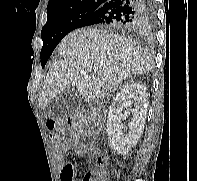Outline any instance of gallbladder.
I'll return each mask as SVG.
<instances>
[{
  "instance_id": "1",
  "label": "gallbladder",
  "mask_w": 197,
  "mask_h": 181,
  "mask_svg": "<svg viewBox=\"0 0 197 181\" xmlns=\"http://www.w3.org/2000/svg\"><path fill=\"white\" fill-rule=\"evenodd\" d=\"M74 93L75 90L73 87L66 88L62 95H60L50 104L49 108H52L53 110H63L65 108L74 109L76 104L74 98H72Z\"/></svg>"
}]
</instances>
